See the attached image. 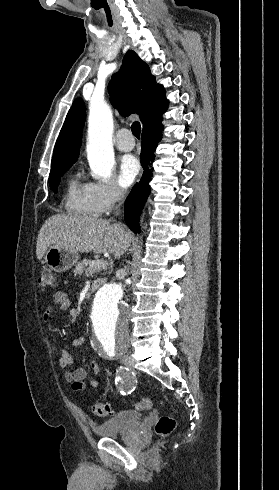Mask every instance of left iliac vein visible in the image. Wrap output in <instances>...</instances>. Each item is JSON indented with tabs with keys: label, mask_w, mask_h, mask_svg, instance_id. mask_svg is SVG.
<instances>
[{
	"label": "left iliac vein",
	"mask_w": 279,
	"mask_h": 490,
	"mask_svg": "<svg viewBox=\"0 0 279 490\" xmlns=\"http://www.w3.org/2000/svg\"><path fill=\"white\" fill-rule=\"evenodd\" d=\"M115 358H116V360H118V361H119V360H121V358H122V357H121V355H119V354H118V355H116V357H115Z\"/></svg>",
	"instance_id": "4c4485c4"
}]
</instances>
